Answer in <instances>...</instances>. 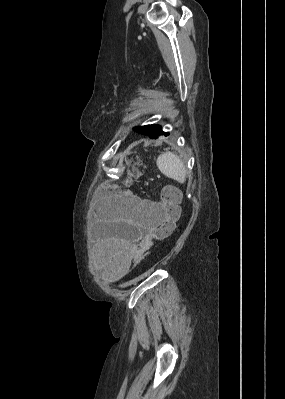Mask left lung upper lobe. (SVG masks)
Segmentation results:
<instances>
[{
    "label": "left lung upper lobe",
    "instance_id": "5c2ea615",
    "mask_svg": "<svg viewBox=\"0 0 285 399\" xmlns=\"http://www.w3.org/2000/svg\"><path fill=\"white\" fill-rule=\"evenodd\" d=\"M134 130L136 132H138L140 134H144V135L160 136V135L168 134V133L162 131L161 126H159V125H145V126H141V127H136Z\"/></svg>",
    "mask_w": 285,
    "mask_h": 399
}]
</instances>
